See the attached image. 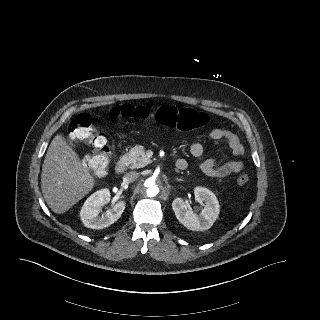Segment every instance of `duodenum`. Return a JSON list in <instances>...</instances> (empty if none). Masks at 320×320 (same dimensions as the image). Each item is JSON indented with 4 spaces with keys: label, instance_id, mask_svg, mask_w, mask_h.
Here are the masks:
<instances>
[{
    "label": "duodenum",
    "instance_id": "1",
    "mask_svg": "<svg viewBox=\"0 0 320 320\" xmlns=\"http://www.w3.org/2000/svg\"><path fill=\"white\" fill-rule=\"evenodd\" d=\"M175 168L177 170H185L187 168V163L185 160L183 159H179L175 162ZM126 169V163L123 159H119L116 163V166H115V171L118 173V174H122L124 173Z\"/></svg>",
    "mask_w": 320,
    "mask_h": 320
}]
</instances>
